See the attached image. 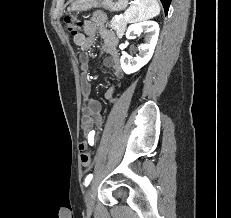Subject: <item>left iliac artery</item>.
<instances>
[{"instance_id":"left-iliac-artery-1","label":"left iliac artery","mask_w":231,"mask_h":218,"mask_svg":"<svg viewBox=\"0 0 231 218\" xmlns=\"http://www.w3.org/2000/svg\"><path fill=\"white\" fill-rule=\"evenodd\" d=\"M94 135H95V131L92 130L90 131V133L88 134V143L93 146L94 145ZM93 178V175L92 174H89L86 179H85V186H88L89 183L91 182Z\"/></svg>"}]
</instances>
